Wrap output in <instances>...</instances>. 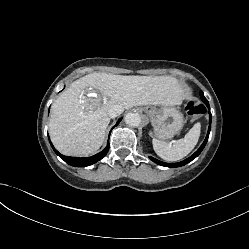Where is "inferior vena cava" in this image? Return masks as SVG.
I'll use <instances>...</instances> for the list:
<instances>
[{"instance_id": "1", "label": "inferior vena cava", "mask_w": 249, "mask_h": 249, "mask_svg": "<svg viewBox=\"0 0 249 249\" xmlns=\"http://www.w3.org/2000/svg\"><path fill=\"white\" fill-rule=\"evenodd\" d=\"M123 111H124V109L122 106L114 105L108 110V115L110 118H115V117L119 116L120 114H122Z\"/></svg>"}]
</instances>
